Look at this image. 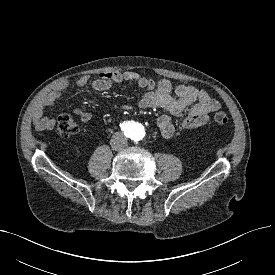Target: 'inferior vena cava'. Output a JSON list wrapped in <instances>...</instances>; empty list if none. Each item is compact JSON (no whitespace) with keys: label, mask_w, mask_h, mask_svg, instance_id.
<instances>
[{"label":"inferior vena cava","mask_w":275,"mask_h":275,"mask_svg":"<svg viewBox=\"0 0 275 275\" xmlns=\"http://www.w3.org/2000/svg\"><path fill=\"white\" fill-rule=\"evenodd\" d=\"M110 144L113 150H121L127 146V138L123 133L117 132L113 135Z\"/></svg>","instance_id":"obj_1"}]
</instances>
